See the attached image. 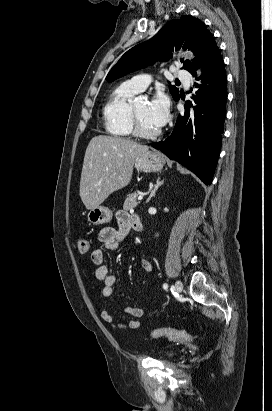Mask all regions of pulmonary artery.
<instances>
[{
  "label": "pulmonary artery",
  "mask_w": 272,
  "mask_h": 411,
  "mask_svg": "<svg viewBox=\"0 0 272 411\" xmlns=\"http://www.w3.org/2000/svg\"><path fill=\"white\" fill-rule=\"evenodd\" d=\"M177 77L182 81L189 82L190 73L185 69H178ZM150 83L151 79L148 75H137L129 80V84L138 92L145 90Z\"/></svg>",
  "instance_id": "obj_1"
}]
</instances>
